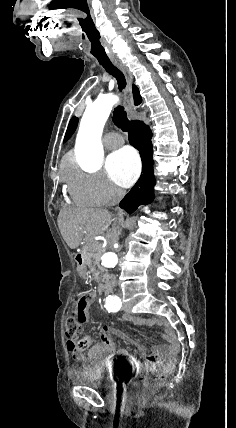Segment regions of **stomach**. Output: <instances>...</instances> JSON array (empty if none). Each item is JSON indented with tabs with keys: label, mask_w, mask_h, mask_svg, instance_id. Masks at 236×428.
I'll return each instance as SVG.
<instances>
[{
	"label": "stomach",
	"mask_w": 236,
	"mask_h": 428,
	"mask_svg": "<svg viewBox=\"0 0 236 428\" xmlns=\"http://www.w3.org/2000/svg\"><path fill=\"white\" fill-rule=\"evenodd\" d=\"M82 271L84 272L85 270L83 269ZM83 275L85 276L86 274L84 273Z\"/></svg>",
	"instance_id": "obj_1"
}]
</instances>
